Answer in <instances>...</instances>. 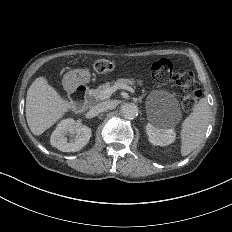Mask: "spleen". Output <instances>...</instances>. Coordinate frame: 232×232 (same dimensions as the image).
I'll return each instance as SVG.
<instances>
[{"instance_id": "3e777b00", "label": "spleen", "mask_w": 232, "mask_h": 232, "mask_svg": "<svg viewBox=\"0 0 232 232\" xmlns=\"http://www.w3.org/2000/svg\"><path fill=\"white\" fill-rule=\"evenodd\" d=\"M210 121V106L203 97L194 107L193 112L181 123L180 154L187 156L197 148L205 136Z\"/></svg>"}]
</instances>
